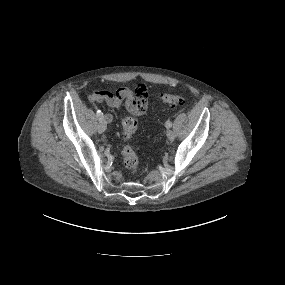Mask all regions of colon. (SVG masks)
Masks as SVG:
<instances>
[{"label": "colon", "mask_w": 285, "mask_h": 285, "mask_svg": "<svg viewBox=\"0 0 285 285\" xmlns=\"http://www.w3.org/2000/svg\"><path fill=\"white\" fill-rule=\"evenodd\" d=\"M145 89L144 84H139L135 92L137 95H142ZM157 97L165 104L175 107L180 106L185 103V98L182 94H172V93H158ZM138 128V120L135 117L127 116L121 122V131L125 139L131 138ZM123 162L126 168L130 170H136L138 167L139 159L131 146H124L122 149Z\"/></svg>", "instance_id": "obj_1"}]
</instances>
